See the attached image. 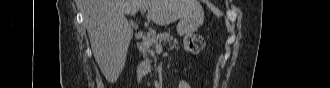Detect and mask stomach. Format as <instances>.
I'll list each match as a JSON object with an SVG mask.
<instances>
[{
    "mask_svg": "<svg viewBox=\"0 0 330 88\" xmlns=\"http://www.w3.org/2000/svg\"><path fill=\"white\" fill-rule=\"evenodd\" d=\"M204 14L190 15L180 19L177 24V32L179 35H188L194 33L203 23Z\"/></svg>",
    "mask_w": 330,
    "mask_h": 88,
    "instance_id": "0dacf381",
    "label": "stomach"
}]
</instances>
